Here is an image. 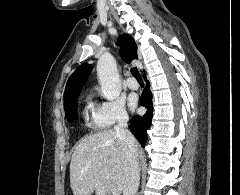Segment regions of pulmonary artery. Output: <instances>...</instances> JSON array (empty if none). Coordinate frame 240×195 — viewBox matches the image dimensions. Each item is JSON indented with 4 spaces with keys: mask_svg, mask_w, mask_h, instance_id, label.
Returning a JSON list of instances; mask_svg holds the SVG:
<instances>
[{
    "mask_svg": "<svg viewBox=\"0 0 240 195\" xmlns=\"http://www.w3.org/2000/svg\"><path fill=\"white\" fill-rule=\"evenodd\" d=\"M127 85L132 89H138L139 84L135 79L129 78L127 79Z\"/></svg>",
    "mask_w": 240,
    "mask_h": 195,
    "instance_id": "e3ab8cb5",
    "label": "pulmonary artery"
}]
</instances>
